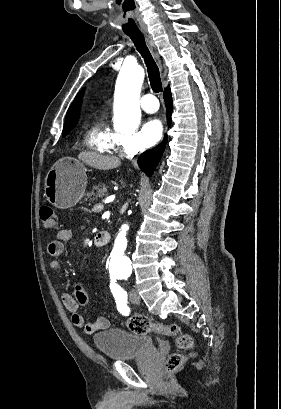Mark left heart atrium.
<instances>
[{
    "label": "left heart atrium",
    "mask_w": 281,
    "mask_h": 409,
    "mask_svg": "<svg viewBox=\"0 0 281 409\" xmlns=\"http://www.w3.org/2000/svg\"><path fill=\"white\" fill-rule=\"evenodd\" d=\"M162 121L157 117H151L142 127L141 140L145 146H153L162 137Z\"/></svg>",
    "instance_id": "left-heart-atrium-1"
}]
</instances>
